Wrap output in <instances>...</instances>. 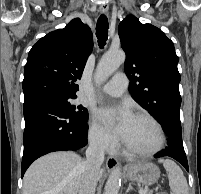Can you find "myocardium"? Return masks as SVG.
<instances>
[{
	"label": "myocardium",
	"instance_id": "myocardium-1",
	"mask_svg": "<svg viewBox=\"0 0 201 194\" xmlns=\"http://www.w3.org/2000/svg\"><path fill=\"white\" fill-rule=\"evenodd\" d=\"M135 117L144 118V119L149 120L157 129L159 141H158V144L153 149L148 150V151H141V150L134 149L124 141L123 145H124L125 151L128 154L138 156V157H151V156L159 153L166 144V134H165L163 126L154 116H152L151 114H149L147 112H138L135 114Z\"/></svg>",
	"mask_w": 201,
	"mask_h": 194
}]
</instances>
